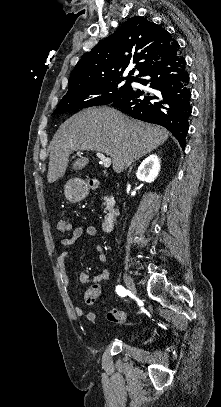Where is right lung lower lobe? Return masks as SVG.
<instances>
[{"label":"right lung lower lobe","mask_w":221,"mask_h":407,"mask_svg":"<svg viewBox=\"0 0 221 407\" xmlns=\"http://www.w3.org/2000/svg\"><path fill=\"white\" fill-rule=\"evenodd\" d=\"M135 82L151 91L131 89L110 104L135 119L159 124L168 129L184 149L191 115V93L186 62L179 44L162 60L148 67Z\"/></svg>","instance_id":"right-lung-lower-lobe-1"}]
</instances>
